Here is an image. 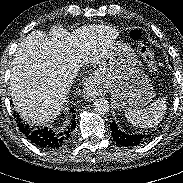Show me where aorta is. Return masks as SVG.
<instances>
[{
  "instance_id": "1",
  "label": "aorta",
  "mask_w": 183,
  "mask_h": 183,
  "mask_svg": "<svg viewBox=\"0 0 183 183\" xmlns=\"http://www.w3.org/2000/svg\"><path fill=\"white\" fill-rule=\"evenodd\" d=\"M93 105L94 110L99 114H105L109 111V102L105 98L96 99Z\"/></svg>"
}]
</instances>
